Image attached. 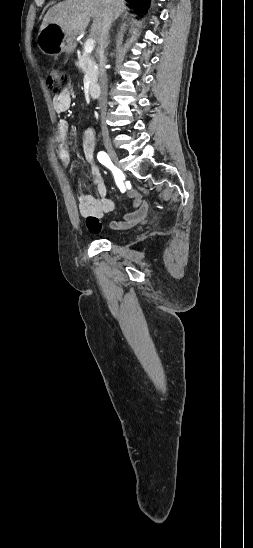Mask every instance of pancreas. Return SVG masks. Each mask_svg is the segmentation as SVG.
Masks as SVG:
<instances>
[{"label":"pancreas","mask_w":253,"mask_h":548,"mask_svg":"<svg viewBox=\"0 0 253 548\" xmlns=\"http://www.w3.org/2000/svg\"><path fill=\"white\" fill-rule=\"evenodd\" d=\"M76 66L85 72L90 81V89L96 86L98 78V66L94 58L85 52L78 54Z\"/></svg>","instance_id":"pancreas-1"}]
</instances>
